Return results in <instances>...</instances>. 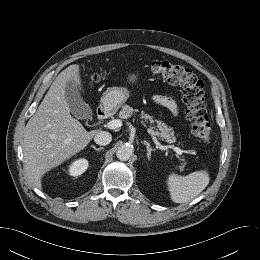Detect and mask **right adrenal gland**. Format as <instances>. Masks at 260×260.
<instances>
[{
    "label": "right adrenal gland",
    "mask_w": 260,
    "mask_h": 260,
    "mask_svg": "<svg viewBox=\"0 0 260 260\" xmlns=\"http://www.w3.org/2000/svg\"><path fill=\"white\" fill-rule=\"evenodd\" d=\"M91 147H92L94 150H96V151H101V150L104 149L103 147H99V148H97V147L94 146V145H92Z\"/></svg>",
    "instance_id": "1"
}]
</instances>
